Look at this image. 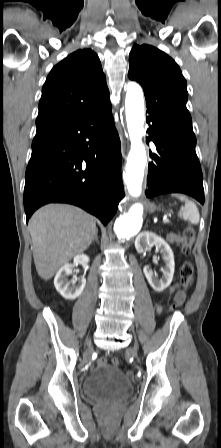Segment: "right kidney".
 I'll return each instance as SVG.
<instances>
[{
    "label": "right kidney",
    "mask_w": 221,
    "mask_h": 448,
    "mask_svg": "<svg viewBox=\"0 0 221 448\" xmlns=\"http://www.w3.org/2000/svg\"><path fill=\"white\" fill-rule=\"evenodd\" d=\"M73 261V264L67 263L61 267L54 278V286L56 290L67 300H74L79 297L86 285V279L84 277L77 285L74 280L69 282L67 277L72 274L75 265L81 264L85 267L89 263V257L81 254L75 256Z\"/></svg>",
    "instance_id": "right-kidney-1"
}]
</instances>
